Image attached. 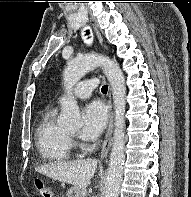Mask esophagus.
<instances>
[{
	"mask_svg": "<svg viewBox=\"0 0 191 197\" xmlns=\"http://www.w3.org/2000/svg\"><path fill=\"white\" fill-rule=\"evenodd\" d=\"M95 33L97 35V38L101 45H103V39L96 27H94ZM108 108H109V124H108V129L105 135V140L102 145L101 149V158H105L110 150V147L112 145V132H113V122H114V117H113V111H112V101H111V92L109 91L108 94Z\"/></svg>",
	"mask_w": 191,
	"mask_h": 197,
	"instance_id": "34e87169",
	"label": "esophagus"
}]
</instances>
